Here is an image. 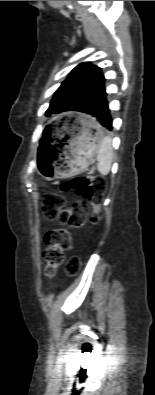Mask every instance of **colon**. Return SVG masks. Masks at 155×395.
Segmentation results:
<instances>
[{"label":"colon","mask_w":155,"mask_h":395,"mask_svg":"<svg viewBox=\"0 0 155 395\" xmlns=\"http://www.w3.org/2000/svg\"><path fill=\"white\" fill-rule=\"evenodd\" d=\"M62 191L73 190L83 197V200L66 204L64 197L57 192L46 193L41 200L42 214L47 220H57L63 225L52 229L45 235L47 245L43 252L45 262V275L53 277L63 265L65 253L71 247V229L84 226L87 218L93 223L101 219L100 204L107 189V182L101 176L79 175L65 182L61 186ZM92 207V211L90 208ZM80 261L73 257L67 264V272L70 275L78 274Z\"/></svg>","instance_id":"obj_1"}]
</instances>
